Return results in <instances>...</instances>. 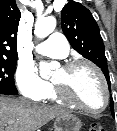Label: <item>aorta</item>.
Segmentation results:
<instances>
[{"label": "aorta", "mask_w": 117, "mask_h": 131, "mask_svg": "<svg viewBox=\"0 0 117 131\" xmlns=\"http://www.w3.org/2000/svg\"><path fill=\"white\" fill-rule=\"evenodd\" d=\"M55 27H56V19L54 17L48 16L39 18L35 23L34 34L38 38H45L54 31ZM54 67H55L54 63L46 61L40 62L39 63L40 75L43 78L48 77Z\"/></svg>", "instance_id": "obj_1"}]
</instances>
